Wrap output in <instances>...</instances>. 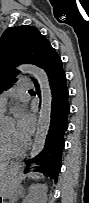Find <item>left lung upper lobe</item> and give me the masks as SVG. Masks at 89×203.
<instances>
[{"label":"left lung upper lobe","instance_id":"5c2ea615","mask_svg":"<svg viewBox=\"0 0 89 203\" xmlns=\"http://www.w3.org/2000/svg\"><path fill=\"white\" fill-rule=\"evenodd\" d=\"M48 45L49 41L35 27L7 29L0 37V93L16 82V66L32 63L40 67Z\"/></svg>","mask_w":89,"mask_h":203}]
</instances>
